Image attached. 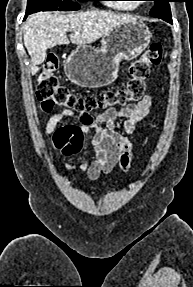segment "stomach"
<instances>
[{
	"mask_svg": "<svg viewBox=\"0 0 193 287\" xmlns=\"http://www.w3.org/2000/svg\"><path fill=\"white\" fill-rule=\"evenodd\" d=\"M152 34L141 21L130 20L102 37L101 48L79 45L68 56L64 71L68 79L85 88L111 84L118 75L119 63L137 58L149 45Z\"/></svg>",
	"mask_w": 193,
	"mask_h": 287,
	"instance_id": "1",
	"label": "stomach"
}]
</instances>
